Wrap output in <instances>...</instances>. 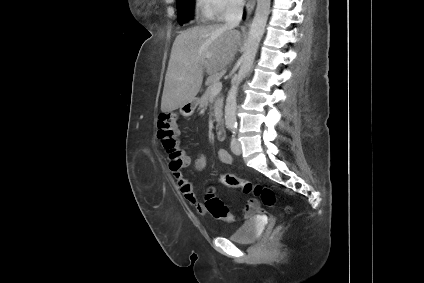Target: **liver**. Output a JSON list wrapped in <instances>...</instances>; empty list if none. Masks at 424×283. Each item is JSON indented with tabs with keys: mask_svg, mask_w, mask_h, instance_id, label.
I'll return each mask as SVG.
<instances>
[{
	"mask_svg": "<svg viewBox=\"0 0 424 283\" xmlns=\"http://www.w3.org/2000/svg\"><path fill=\"white\" fill-rule=\"evenodd\" d=\"M241 34L221 24L200 25L177 35L166 72L161 111H174L194 100L203 74L215 75L234 60Z\"/></svg>",
	"mask_w": 424,
	"mask_h": 283,
	"instance_id": "1",
	"label": "liver"
}]
</instances>
